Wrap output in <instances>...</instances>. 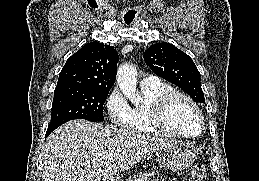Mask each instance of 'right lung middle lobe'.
<instances>
[{"label":"right lung middle lobe","mask_w":259,"mask_h":181,"mask_svg":"<svg viewBox=\"0 0 259 181\" xmlns=\"http://www.w3.org/2000/svg\"><path fill=\"white\" fill-rule=\"evenodd\" d=\"M109 90L85 88H55L51 122L47 132L73 119L91 122L104 120L103 105Z\"/></svg>","instance_id":"obj_1"}]
</instances>
